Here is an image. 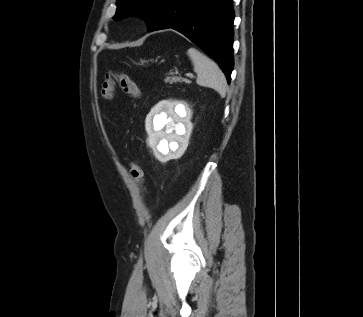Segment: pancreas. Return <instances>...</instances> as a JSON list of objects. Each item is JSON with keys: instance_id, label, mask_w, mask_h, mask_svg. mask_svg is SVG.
Listing matches in <instances>:
<instances>
[{"instance_id": "1", "label": "pancreas", "mask_w": 363, "mask_h": 317, "mask_svg": "<svg viewBox=\"0 0 363 317\" xmlns=\"http://www.w3.org/2000/svg\"><path fill=\"white\" fill-rule=\"evenodd\" d=\"M165 82L167 83V82H169L170 84H172V83H176V82H187V80H185V79H182V78H180V77H167L166 79H165Z\"/></svg>"}]
</instances>
